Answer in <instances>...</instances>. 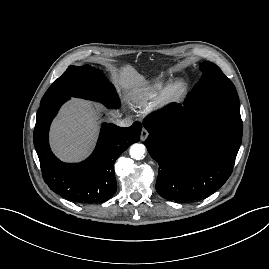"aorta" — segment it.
<instances>
[{"label":"aorta","mask_w":269,"mask_h":269,"mask_svg":"<svg viewBox=\"0 0 269 269\" xmlns=\"http://www.w3.org/2000/svg\"><path fill=\"white\" fill-rule=\"evenodd\" d=\"M145 146L140 143H135L130 147L129 154L131 158L135 160H140L144 157L145 154Z\"/></svg>","instance_id":"obj_1"}]
</instances>
